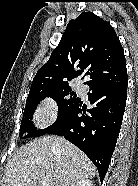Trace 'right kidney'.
Returning <instances> with one entry per match:
<instances>
[{
    "label": "right kidney",
    "mask_w": 138,
    "mask_h": 186,
    "mask_svg": "<svg viewBox=\"0 0 138 186\" xmlns=\"http://www.w3.org/2000/svg\"><path fill=\"white\" fill-rule=\"evenodd\" d=\"M71 186H93V183L88 179H80L72 183Z\"/></svg>",
    "instance_id": "1"
}]
</instances>
